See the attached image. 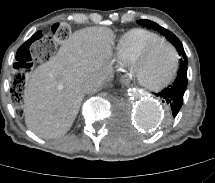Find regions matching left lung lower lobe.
Instances as JSON below:
<instances>
[{
	"mask_svg": "<svg viewBox=\"0 0 215 183\" xmlns=\"http://www.w3.org/2000/svg\"><path fill=\"white\" fill-rule=\"evenodd\" d=\"M187 87V64H180L178 75L172 85L157 93L156 96L167 106L168 119L175 118L182 103Z\"/></svg>",
	"mask_w": 215,
	"mask_h": 183,
	"instance_id": "0a47b994",
	"label": "left lung lower lobe"
}]
</instances>
